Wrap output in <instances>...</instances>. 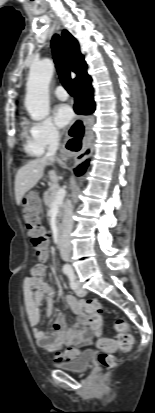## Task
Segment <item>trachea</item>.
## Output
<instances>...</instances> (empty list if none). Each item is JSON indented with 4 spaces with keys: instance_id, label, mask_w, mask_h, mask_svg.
<instances>
[{
    "instance_id": "trachea-1",
    "label": "trachea",
    "mask_w": 155,
    "mask_h": 413,
    "mask_svg": "<svg viewBox=\"0 0 155 413\" xmlns=\"http://www.w3.org/2000/svg\"><path fill=\"white\" fill-rule=\"evenodd\" d=\"M51 48L59 79L68 93L73 94L70 71L67 58L59 35L55 34L51 41Z\"/></svg>"
}]
</instances>
